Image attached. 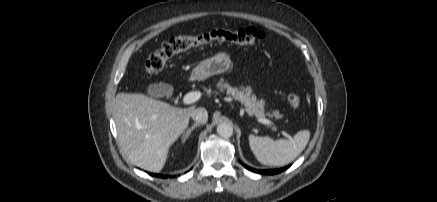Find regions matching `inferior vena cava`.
<instances>
[{
	"label": "inferior vena cava",
	"mask_w": 437,
	"mask_h": 202,
	"mask_svg": "<svg viewBox=\"0 0 437 202\" xmlns=\"http://www.w3.org/2000/svg\"><path fill=\"white\" fill-rule=\"evenodd\" d=\"M191 117L194 121L200 124H205L208 120V113L205 108H196L192 113Z\"/></svg>",
	"instance_id": "1"
}]
</instances>
